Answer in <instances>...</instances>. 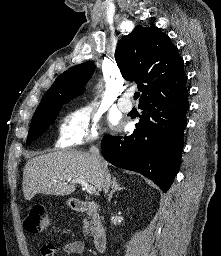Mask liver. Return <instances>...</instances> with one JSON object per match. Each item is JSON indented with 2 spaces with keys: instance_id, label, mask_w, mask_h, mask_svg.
Instances as JSON below:
<instances>
[{
  "instance_id": "6515ba94",
  "label": "liver",
  "mask_w": 221,
  "mask_h": 256,
  "mask_svg": "<svg viewBox=\"0 0 221 256\" xmlns=\"http://www.w3.org/2000/svg\"><path fill=\"white\" fill-rule=\"evenodd\" d=\"M105 169L107 163L101 159ZM109 173V171H108ZM102 170L88 152L63 150L30 159L23 171V194L30 201L36 194L69 195L76 189L73 179H84L98 192L102 187Z\"/></svg>"
}]
</instances>
